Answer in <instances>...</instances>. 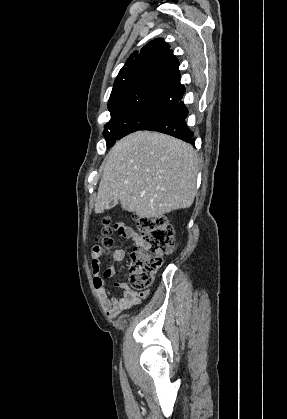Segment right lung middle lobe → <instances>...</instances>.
<instances>
[{
  "instance_id": "dd1d6c3e",
  "label": "right lung middle lobe",
  "mask_w": 287,
  "mask_h": 419,
  "mask_svg": "<svg viewBox=\"0 0 287 419\" xmlns=\"http://www.w3.org/2000/svg\"><path fill=\"white\" fill-rule=\"evenodd\" d=\"M166 109L168 106L165 105H136L111 113V119L103 131L107 148L112 147L122 137L140 130Z\"/></svg>"
}]
</instances>
